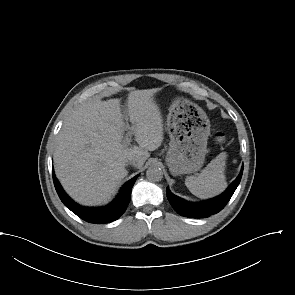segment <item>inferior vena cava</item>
I'll list each match as a JSON object with an SVG mask.
<instances>
[{
    "label": "inferior vena cava",
    "mask_w": 295,
    "mask_h": 295,
    "mask_svg": "<svg viewBox=\"0 0 295 295\" xmlns=\"http://www.w3.org/2000/svg\"><path fill=\"white\" fill-rule=\"evenodd\" d=\"M128 163L132 164L133 166H138L141 163V160L138 156L134 154H130L128 156Z\"/></svg>",
    "instance_id": "inferior-vena-cava-1"
}]
</instances>
